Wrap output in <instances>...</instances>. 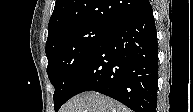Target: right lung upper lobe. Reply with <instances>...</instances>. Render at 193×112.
Segmentation results:
<instances>
[{
	"label": "right lung upper lobe",
	"instance_id": "obj_1",
	"mask_svg": "<svg viewBox=\"0 0 193 112\" xmlns=\"http://www.w3.org/2000/svg\"><path fill=\"white\" fill-rule=\"evenodd\" d=\"M148 0H57L48 24V39L80 23L111 27L138 11Z\"/></svg>",
	"mask_w": 193,
	"mask_h": 112
}]
</instances>
